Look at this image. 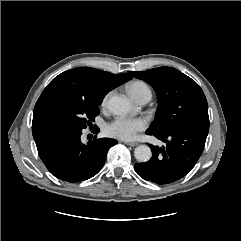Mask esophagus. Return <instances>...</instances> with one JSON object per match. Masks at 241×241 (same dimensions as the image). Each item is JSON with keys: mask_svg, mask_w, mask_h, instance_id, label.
Returning <instances> with one entry per match:
<instances>
[{"mask_svg": "<svg viewBox=\"0 0 241 241\" xmlns=\"http://www.w3.org/2000/svg\"><path fill=\"white\" fill-rule=\"evenodd\" d=\"M126 145H129V146H132V147H134V146H137L138 145V143L137 142H128V141H126V142H124Z\"/></svg>", "mask_w": 241, "mask_h": 241, "instance_id": "obj_1", "label": "esophagus"}]
</instances>
